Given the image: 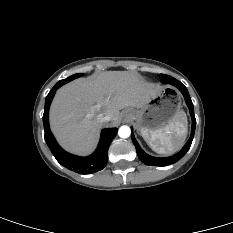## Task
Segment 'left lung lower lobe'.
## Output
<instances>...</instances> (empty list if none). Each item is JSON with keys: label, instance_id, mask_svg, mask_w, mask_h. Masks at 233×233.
Here are the masks:
<instances>
[{"label": "left lung lower lobe", "instance_id": "left-lung-lower-lobe-1", "mask_svg": "<svg viewBox=\"0 0 233 233\" xmlns=\"http://www.w3.org/2000/svg\"><path fill=\"white\" fill-rule=\"evenodd\" d=\"M168 83L175 86L177 89H179L185 98V102L189 108L190 115L192 117L191 135H190L189 140L185 144V146L178 153H176L175 155L170 156V157L159 158V157H153V156L146 154L139 146V144H138L137 140L135 139L134 134L132 132V134H131L132 141H133V144L135 145L137 155L140 158V160L143 163H145L146 165L168 166V165L176 163L187 153V151L189 150V148L192 144V140L194 137L195 127H196V119H195V115H194V107H193L191 98L189 96L188 90L180 81L176 80L175 78H172ZM132 131H133V129H132Z\"/></svg>", "mask_w": 233, "mask_h": 233}]
</instances>
